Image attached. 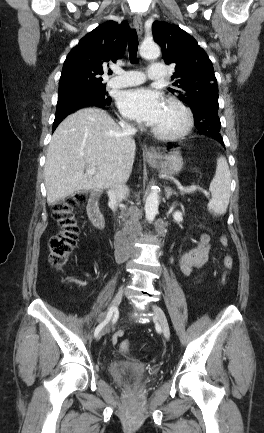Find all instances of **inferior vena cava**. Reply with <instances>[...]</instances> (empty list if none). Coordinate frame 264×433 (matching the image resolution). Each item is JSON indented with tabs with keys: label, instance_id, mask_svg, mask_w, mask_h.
Returning <instances> with one entry per match:
<instances>
[{
	"label": "inferior vena cava",
	"instance_id": "1",
	"mask_svg": "<svg viewBox=\"0 0 264 433\" xmlns=\"http://www.w3.org/2000/svg\"><path fill=\"white\" fill-rule=\"evenodd\" d=\"M122 132L124 135L131 136L136 133V129L125 121H120ZM124 179L114 180L109 183L108 195L112 204V210L115 212L118 205L122 202L125 196L128 194V187L126 186Z\"/></svg>",
	"mask_w": 264,
	"mask_h": 433
}]
</instances>
